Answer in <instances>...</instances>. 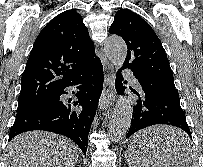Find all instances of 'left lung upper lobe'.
Instances as JSON below:
<instances>
[{
  "label": "left lung upper lobe",
  "mask_w": 203,
  "mask_h": 167,
  "mask_svg": "<svg viewBox=\"0 0 203 167\" xmlns=\"http://www.w3.org/2000/svg\"><path fill=\"white\" fill-rule=\"evenodd\" d=\"M109 33L121 36L127 44L128 53L122 68L132 70L143 82L176 90L161 41L144 19L130 10L121 9L115 14Z\"/></svg>",
  "instance_id": "5c2ea615"
}]
</instances>
